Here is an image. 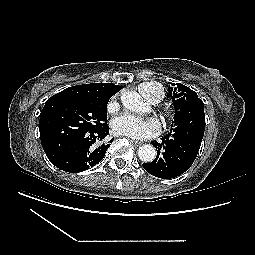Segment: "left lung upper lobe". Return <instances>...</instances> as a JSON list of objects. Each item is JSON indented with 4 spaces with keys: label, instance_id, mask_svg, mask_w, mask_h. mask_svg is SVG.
Returning <instances> with one entry per match:
<instances>
[{
    "label": "left lung upper lobe",
    "instance_id": "left-lung-upper-lobe-1",
    "mask_svg": "<svg viewBox=\"0 0 255 255\" xmlns=\"http://www.w3.org/2000/svg\"><path fill=\"white\" fill-rule=\"evenodd\" d=\"M169 94L175 107L172 127L190 122L193 123L192 121L197 119L199 113H204L202 100L189 87L180 83L176 86L173 84V87L169 89Z\"/></svg>",
    "mask_w": 255,
    "mask_h": 255
}]
</instances>
